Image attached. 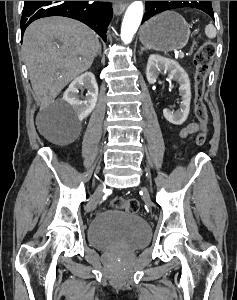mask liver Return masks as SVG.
I'll list each match as a JSON object with an SVG mask.
<instances>
[{
	"label": "liver",
	"mask_w": 237,
	"mask_h": 300,
	"mask_svg": "<svg viewBox=\"0 0 237 300\" xmlns=\"http://www.w3.org/2000/svg\"><path fill=\"white\" fill-rule=\"evenodd\" d=\"M100 43L89 27L66 17L38 19L27 27L22 51L32 89L40 103L90 69Z\"/></svg>",
	"instance_id": "liver-1"
}]
</instances>
